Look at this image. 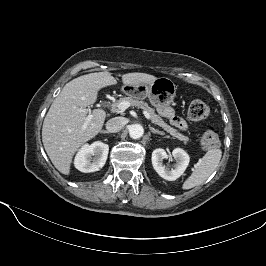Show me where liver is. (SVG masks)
Wrapping results in <instances>:
<instances>
[{"label": "liver", "instance_id": "6515ba94", "mask_svg": "<svg viewBox=\"0 0 266 266\" xmlns=\"http://www.w3.org/2000/svg\"><path fill=\"white\" fill-rule=\"evenodd\" d=\"M156 78L135 72L122 75V82L124 85H139L151 83ZM116 83L109 72L86 74L68 82L54 99L43 122L42 142L51 162L62 174H70L75 152L100 132L106 117L102 110H94L92 119L83 130L87 116L77 108L85 109L94 104L99 90Z\"/></svg>", "mask_w": 266, "mask_h": 266}]
</instances>
